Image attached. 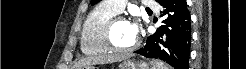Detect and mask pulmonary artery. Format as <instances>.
<instances>
[{
    "instance_id": "e3ab8cb5",
    "label": "pulmonary artery",
    "mask_w": 246,
    "mask_h": 69,
    "mask_svg": "<svg viewBox=\"0 0 246 69\" xmlns=\"http://www.w3.org/2000/svg\"><path fill=\"white\" fill-rule=\"evenodd\" d=\"M124 0H111V1H106L107 5L113 9L116 13H120L123 11L124 9V5H125ZM146 5L151 9L153 8L156 3L155 2H147Z\"/></svg>"
}]
</instances>
